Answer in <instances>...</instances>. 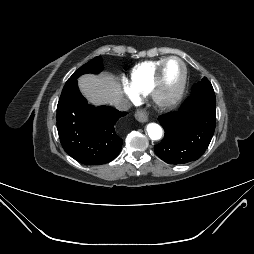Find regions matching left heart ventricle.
Here are the masks:
<instances>
[{"instance_id":"left-heart-ventricle-1","label":"left heart ventricle","mask_w":254,"mask_h":254,"mask_svg":"<svg viewBox=\"0 0 254 254\" xmlns=\"http://www.w3.org/2000/svg\"><path fill=\"white\" fill-rule=\"evenodd\" d=\"M182 75V67L178 61H170L164 70L163 89L164 96L171 95L177 88Z\"/></svg>"}]
</instances>
